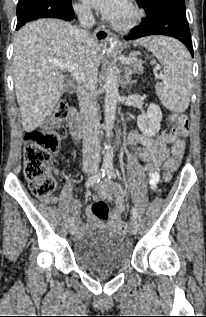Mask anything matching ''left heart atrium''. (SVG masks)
I'll return each instance as SVG.
<instances>
[{"label": "left heart atrium", "instance_id": "39dd6f15", "mask_svg": "<svg viewBox=\"0 0 206 317\" xmlns=\"http://www.w3.org/2000/svg\"><path fill=\"white\" fill-rule=\"evenodd\" d=\"M125 0H85L106 18L114 19L118 9Z\"/></svg>", "mask_w": 206, "mask_h": 317}]
</instances>
